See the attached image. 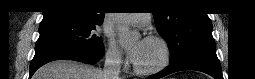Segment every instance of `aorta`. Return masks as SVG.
Returning a JSON list of instances; mask_svg holds the SVG:
<instances>
[{
	"mask_svg": "<svg viewBox=\"0 0 255 79\" xmlns=\"http://www.w3.org/2000/svg\"><path fill=\"white\" fill-rule=\"evenodd\" d=\"M117 17H120V14H117ZM116 28L124 43L133 42L139 37L137 32L131 31L127 26L121 24L119 21L117 22Z\"/></svg>",
	"mask_w": 255,
	"mask_h": 79,
	"instance_id": "1",
	"label": "aorta"
}]
</instances>
